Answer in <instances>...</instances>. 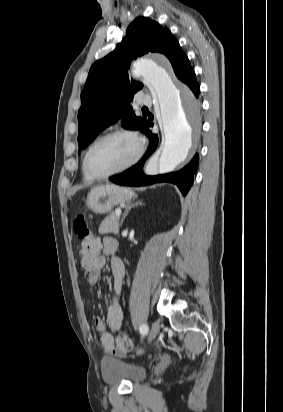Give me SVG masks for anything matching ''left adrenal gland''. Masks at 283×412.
<instances>
[{
    "mask_svg": "<svg viewBox=\"0 0 283 412\" xmlns=\"http://www.w3.org/2000/svg\"><path fill=\"white\" fill-rule=\"evenodd\" d=\"M138 205H142V202H141V201H137L136 203L128 204V205L126 206L125 212H124L123 217H122V219H121V224H120V226L123 225L124 219H125V217L128 215L129 211H130L133 207L138 206Z\"/></svg>",
    "mask_w": 283,
    "mask_h": 412,
    "instance_id": "obj_1",
    "label": "left adrenal gland"
}]
</instances>
